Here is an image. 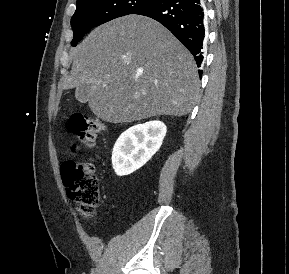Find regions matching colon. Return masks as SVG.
Here are the masks:
<instances>
[{"label": "colon", "mask_w": 289, "mask_h": 274, "mask_svg": "<svg viewBox=\"0 0 289 274\" xmlns=\"http://www.w3.org/2000/svg\"><path fill=\"white\" fill-rule=\"evenodd\" d=\"M104 124L98 118L75 115L70 120V129L80 143L92 147L97 137L104 131ZM61 174L69 198L78 205L79 211L91 215L100 199L99 182L91 161H66L62 164Z\"/></svg>", "instance_id": "5ec220e1"}]
</instances>
